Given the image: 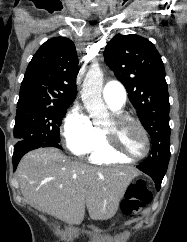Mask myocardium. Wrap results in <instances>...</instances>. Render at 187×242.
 Wrapping results in <instances>:
<instances>
[{
  "label": "myocardium",
  "mask_w": 187,
  "mask_h": 242,
  "mask_svg": "<svg viewBox=\"0 0 187 242\" xmlns=\"http://www.w3.org/2000/svg\"><path fill=\"white\" fill-rule=\"evenodd\" d=\"M111 121L113 124V130L103 129L105 141L108 149L115 155L128 159L129 161H138L147 157L151 151V141L149 134L145 127L133 116L123 113L116 112L111 116ZM133 124L142 133L145 139V151L140 155H131L127 153L121 146L119 142L118 130L125 124Z\"/></svg>",
  "instance_id": "obj_1"
}]
</instances>
